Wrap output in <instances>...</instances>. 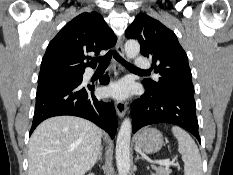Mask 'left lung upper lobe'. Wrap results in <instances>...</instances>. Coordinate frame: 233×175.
<instances>
[{"instance_id":"left-lung-upper-lobe-1","label":"left lung upper lobe","mask_w":233,"mask_h":175,"mask_svg":"<svg viewBox=\"0 0 233 175\" xmlns=\"http://www.w3.org/2000/svg\"><path fill=\"white\" fill-rule=\"evenodd\" d=\"M126 37L137 39L141 54L151 56L155 73L160 74L158 82L142 81L144 87L153 92L166 89H183L194 92L188 58L173 31L158 20L140 13L127 28Z\"/></svg>"}]
</instances>
